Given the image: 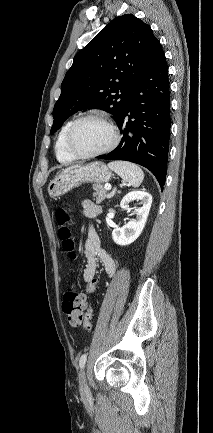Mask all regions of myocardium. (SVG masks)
<instances>
[{
  "label": "myocardium",
  "mask_w": 213,
  "mask_h": 433,
  "mask_svg": "<svg viewBox=\"0 0 213 433\" xmlns=\"http://www.w3.org/2000/svg\"><path fill=\"white\" fill-rule=\"evenodd\" d=\"M89 119H96V120L103 122L110 129V131L112 133V141L110 142V144L106 148H104L100 151H97L94 153H89V154H84V153L79 152L77 150V148L75 147L74 135H75V132H76L78 126L82 122L89 120ZM119 142H120V133H119L117 127L115 126V124L107 116H105L102 113H98V112H89V113H86V114L80 116L79 118H77L73 122V124L71 125V127L68 131V134H67V146H68L69 151L76 158H80V159H90V158H95V157L105 155V154L111 152L112 150H114L117 147V145L119 144Z\"/></svg>",
  "instance_id": "1"
}]
</instances>
